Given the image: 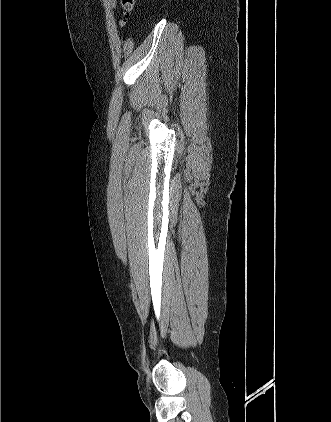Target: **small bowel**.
Returning <instances> with one entry per match:
<instances>
[{"label":"small bowel","mask_w":331,"mask_h":422,"mask_svg":"<svg viewBox=\"0 0 331 422\" xmlns=\"http://www.w3.org/2000/svg\"><path fill=\"white\" fill-rule=\"evenodd\" d=\"M105 2H106V5L111 9L115 7L116 0H105Z\"/></svg>","instance_id":"c3829d8e"}]
</instances>
